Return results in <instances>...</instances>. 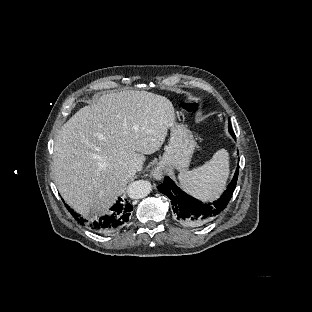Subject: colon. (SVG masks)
<instances>
[{"label":"colon","mask_w":312,"mask_h":312,"mask_svg":"<svg viewBox=\"0 0 312 312\" xmlns=\"http://www.w3.org/2000/svg\"><path fill=\"white\" fill-rule=\"evenodd\" d=\"M181 108L186 112L192 113L196 108V104L192 102H184L183 104H181Z\"/></svg>","instance_id":"1"}]
</instances>
